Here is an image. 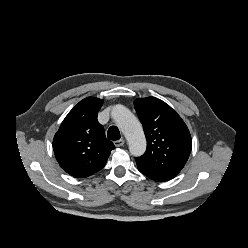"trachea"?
Returning <instances> with one entry per match:
<instances>
[{"mask_svg": "<svg viewBox=\"0 0 248 248\" xmlns=\"http://www.w3.org/2000/svg\"><path fill=\"white\" fill-rule=\"evenodd\" d=\"M107 137L113 141L119 140L121 137L119 129L116 126L109 127Z\"/></svg>", "mask_w": 248, "mask_h": 248, "instance_id": "obj_1", "label": "trachea"}]
</instances>
